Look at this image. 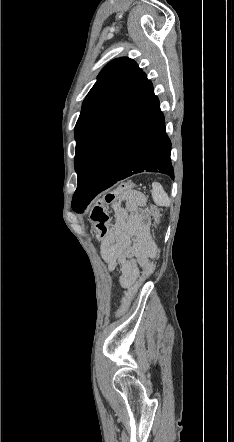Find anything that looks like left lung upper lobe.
I'll return each mask as SVG.
<instances>
[{
    "label": "left lung upper lobe",
    "instance_id": "1",
    "mask_svg": "<svg viewBox=\"0 0 234 442\" xmlns=\"http://www.w3.org/2000/svg\"><path fill=\"white\" fill-rule=\"evenodd\" d=\"M142 73L129 58H118L108 63L87 94L75 126V170L78 173L84 149L97 128L110 115Z\"/></svg>",
    "mask_w": 234,
    "mask_h": 442
}]
</instances>
